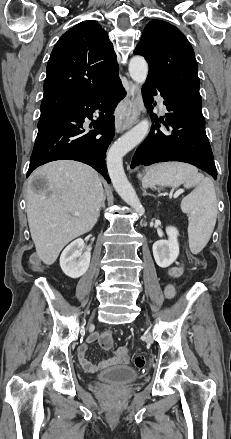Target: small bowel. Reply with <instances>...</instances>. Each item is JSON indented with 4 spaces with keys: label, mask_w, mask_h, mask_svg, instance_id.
Segmentation results:
<instances>
[{
    "label": "small bowel",
    "mask_w": 231,
    "mask_h": 439,
    "mask_svg": "<svg viewBox=\"0 0 231 439\" xmlns=\"http://www.w3.org/2000/svg\"><path fill=\"white\" fill-rule=\"evenodd\" d=\"M183 267L182 265L173 266L168 269V275L172 278H176L180 276L182 273ZM165 294L168 298H173L175 296V289L172 285H166L165 287ZM102 334L99 333H93L91 334L87 340L86 343L82 344L78 350V360L81 366L89 371V372H96L99 369H103L109 366L113 365H120L125 364L127 362V349L125 347L118 348L111 356H109L106 359L101 360L97 365L92 364L87 358H86V351H87V344L95 341L99 336L101 337Z\"/></svg>",
    "instance_id": "obj_1"
}]
</instances>
